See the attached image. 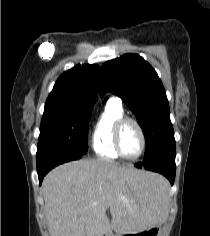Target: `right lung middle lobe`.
<instances>
[{
  "mask_svg": "<svg viewBox=\"0 0 210 236\" xmlns=\"http://www.w3.org/2000/svg\"><path fill=\"white\" fill-rule=\"evenodd\" d=\"M91 110L63 104L45 105L37 154L56 150L84 155L88 149Z\"/></svg>",
  "mask_w": 210,
  "mask_h": 236,
  "instance_id": "1",
  "label": "right lung middle lobe"
}]
</instances>
